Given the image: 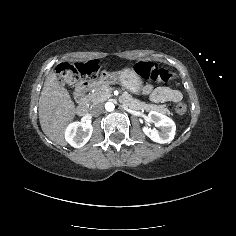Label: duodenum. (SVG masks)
Segmentation results:
<instances>
[{
  "label": "duodenum",
  "mask_w": 236,
  "mask_h": 236,
  "mask_svg": "<svg viewBox=\"0 0 236 236\" xmlns=\"http://www.w3.org/2000/svg\"><path fill=\"white\" fill-rule=\"evenodd\" d=\"M96 83L95 79H85L81 80L75 88V112L78 115H84L87 113L88 105L84 98L86 91L91 88Z\"/></svg>",
  "instance_id": "obj_1"
}]
</instances>
